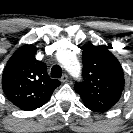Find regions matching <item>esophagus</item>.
I'll return each mask as SVG.
<instances>
[{
  "mask_svg": "<svg viewBox=\"0 0 133 133\" xmlns=\"http://www.w3.org/2000/svg\"><path fill=\"white\" fill-rule=\"evenodd\" d=\"M68 80H69V77H68L67 74H64V75L61 77V82H62V83H65V82H67Z\"/></svg>",
  "mask_w": 133,
  "mask_h": 133,
  "instance_id": "34e87169",
  "label": "esophagus"
}]
</instances>
